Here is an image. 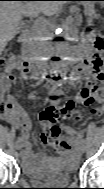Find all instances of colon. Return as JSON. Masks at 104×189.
<instances>
[{"label": "colon", "mask_w": 104, "mask_h": 189, "mask_svg": "<svg viewBox=\"0 0 104 189\" xmlns=\"http://www.w3.org/2000/svg\"><path fill=\"white\" fill-rule=\"evenodd\" d=\"M86 38L90 41L94 51L92 56V72L96 79L101 80L103 78L102 53L104 51V37L100 34H94L91 30H87ZM18 63L19 62L15 60L5 59L3 60V67L7 68ZM6 89L7 85L2 82L0 85V106L2 110L6 109L10 104V100L4 95ZM74 108L75 104L72 101H68L65 104L50 103L39 114V120L43 125V131L40 136L41 141L44 144L52 146L60 154L70 152L72 149V143L69 138L61 135L60 128L56 122L62 115L72 112ZM92 111L96 116L101 114V109L98 106L94 107Z\"/></svg>", "instance_id": "1"}]
</instances>
